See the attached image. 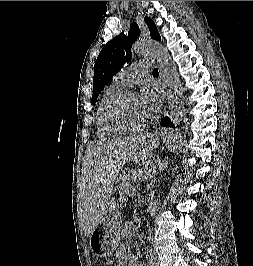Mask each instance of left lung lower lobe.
Returning <instances> with one entry per match:
<instances>
[{"instance_id":"0a47b994","label":"left lung lower lobe","mask_w":253,"mask_h":266,"mask_svg":"<svg viewBox=\"0 0 253 266\" xmlns=\"http://www.w3.org/2000/svg\"><path fill=\"white\" fill-rule=\"evenodd\" d=\"M161 126L166 127V128H171L173 127V123L171 122L169 117L163 118V120L160 123Z\"/></svg>"}]
</instances>
